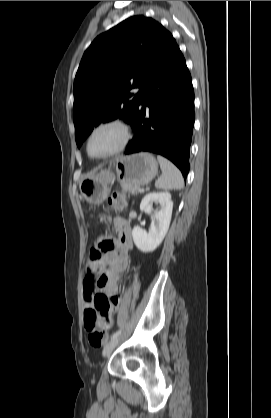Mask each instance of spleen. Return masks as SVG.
<instances>
[{
    "mask_svg": "<svg viewBox=\"0 0 271 418\" xmlns=\"http://www.w3.org/2000/svg\"><path fill=\"white\" fill-rule=\"evenodd\" d=\"M157 159L162 170V175L155 183L156 188L163 190H181L184 185V179L180 170L162 156H158Z\"/></svg>",
    "mask_w": 271,
    "mask_h": 418,
    "instance_id": "1",
    "label": "spleen"
}]
</instances>
